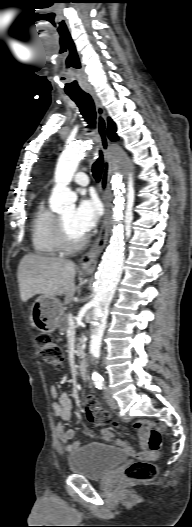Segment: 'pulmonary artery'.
Listing matches in <instances>:
<instances>
[{
    "mask_svg": "<svg viewBox=\"0 0 192 527\" xmlns=\"http://www.w3.org/2000/svg\"><path fill=\"white\" fill-rule=\"evenodd\" d=\"M73 182L79 186H87L89 184V177L84 172H78L73 177Z\"/></svg>",
    "mask_w": 192,
    "mask_h": 527,
    "instance_id": "obj_1",
    "label": "pulmonary artery"
}]
</instances>
